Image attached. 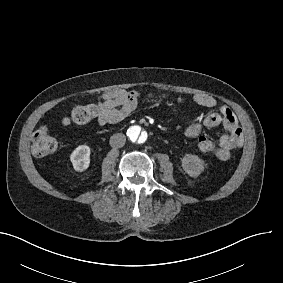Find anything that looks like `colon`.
<instances>
[{"label": "colon", "instance_id": "obj_1", "mask_svg": "<svg viewBox=\"0 0 283 283\" xmlns=\"http://www.w3.org/2000/svg\"><path fill=\"white\" fill-rule=\"evenodd\" d=\"M127 100L132 99V92L123 96ZM99 116L97 105H78L62 120L63 126L85 125ZM57 143L47 128L39 129L35 132L32 140V150L40 158H45L53 154ZM198 148L206 154H213L216 151L213 139L209 136L198 138Z\"/></svg>", "mask_w": 283, "mask_h": 283}]
</instances>
